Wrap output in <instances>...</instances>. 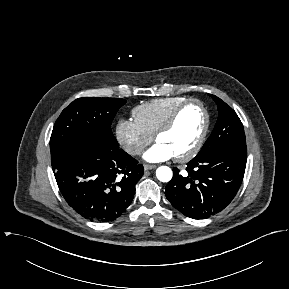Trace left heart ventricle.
Returning <instances> with one entry per match:
<instances>
[{
    "instance_id": "1",
    "label": "left heart ventricle",
    "mask_w": 289,
    "mask_h": 289,
    "mask_svg": "<svg viewBox=\"0 0 289 289\" xmlns=\"http://www.w3.org/2000/svg\"><path fill=\"white\" fill-rule=\"evenodd\" d=\"M204 121L202 109L196 104H191L182 111L174 127L161 135L157 142L167 146L174 156L182 155L196 143L203 129Z\"/></svg>"
}]
</instances>
